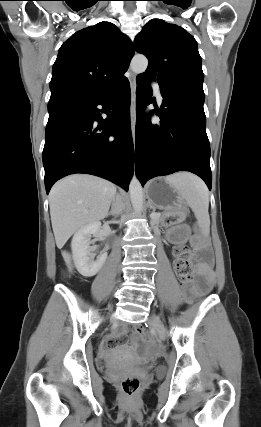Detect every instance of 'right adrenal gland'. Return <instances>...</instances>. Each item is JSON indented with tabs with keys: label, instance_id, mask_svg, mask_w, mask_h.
I'll use <instances>...</instances> for the list:
<instances>
[{
	"label": "right adrenal gland",
	"instance_id": "2a0ac1e0",
	"mask_svg": "<svg viewBox=\"0 0 261 427\" xmlns=\"http://www.w3.org/2000/svg\"><path fill=\"white\" fill-rule=\"evenodd\" d=\"M110 215L114 216L115 214L111 211L107 214V216H110Z\"/></svg>",
	"mask_w": 261,
	"mask_h": 427
}]
</instances>
